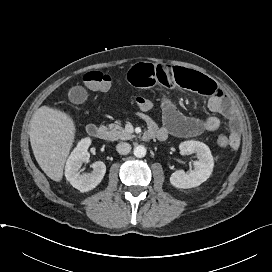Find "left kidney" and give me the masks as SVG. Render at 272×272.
I'll use <instances>...</instances> for the list:
<instances>
[{
  "label": "left kidney",
  "mask_w": 272,
  "mask_h": 272,
  "mask_svg": "<svg viewBox=\"0 0 272 272\" xmlns=\"http://www.w3.org/2000/svg\"><path fill=\"white\" fill-rule=\"evenodd\" d=\"M180 150L185 154L197 155L198 160L194 161V169L189 173L177 170L172 173L170 183L176 188H193L205 182L212 174L214 160L209 147L199 141H185L179 145Z\"/></svg>",
  "instance_id": "1"
}]
</instances>
